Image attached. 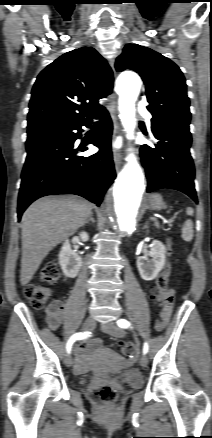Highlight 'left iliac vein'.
<instances>
[{
    "label": "left iliac vein",
    "instance_id": "1",
    "mask_svg": "<svg viewBox=\"0 0 212 438\" xmlns=\"http://www.w3.org/2000/svg\"><path fill=\"white\" fill-rule=\"evenodd\" d=\"M102 330L112 336H115L117 338H123L125 336V332L118 327L116 324H114L113 322L107 323L105 325H102ZM148 364V359L146 355H142L140 357V365L142 367H146Z\"/></svg>",
    "mask_w": 212,
    "mask_h": 438
}]
</instances>
